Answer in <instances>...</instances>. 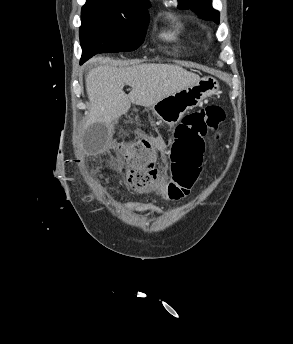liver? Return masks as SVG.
Listing matches in <instances>:
<instances>
[{"instance_id": "obj_1", "label": "liver", "mask_w": 293, "mask_h": 344, "mask_svg": "<svg viewBox=\"0 0 293 344\" xmlns=\"http://www.w3.org/2000/svg\"><path fill=\"white\" fill-rule=\"evenodd\" d=\"M199 80V75L170 64L96 67L86 76V91L90 101L89 123L110 126L127 113L131 103L152 106ZM125 84L132 87L128 95L123 91Z\"/></svg>"}]
</instances>
